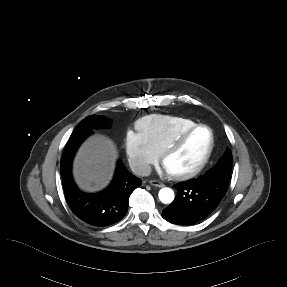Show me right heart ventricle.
<instances>
[{
  "instance_id": "right-heart-ventricle-1",
  "label": "right heart ventricle",
  "mask_w": 287,
  "mask_h": 287,
  "mask_svg": "<svg viewBox=\"0 0 287 287\" xmlns=\"http://www.w3.org/2000/svg\"><path fill=\"white\" fill-rule=\"evenodd\" d=\"M194 125L193 120L184 116L151 114L140 119L137 128L162 153L175 137Z\"/></svg>"
}]
</instances>
